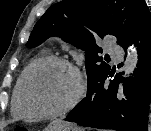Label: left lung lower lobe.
Instances as JSON below:
<instances>
[{
  "mask_svg": "<svg viewBox=\"0 0 151 131\" xmlns=\"http://www.w3.org/2000/svg\"><path fill=\"white\" fill-rule=\"evenodd\" d=\"M131 43L139 55L133 76L123 78V73H118L107 86L106 80L114 75L110 69L88 88L87 96L65 121L106 130L147 131L151 100V14L146 3L140 6L122 47L126 49Z\"/></svg>",
  "mask_w": 151,
  "mask_h": 131,
  "instance_id": "1",
  "label": "left lung lower lobe"
}]
</instances>
